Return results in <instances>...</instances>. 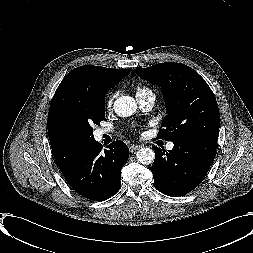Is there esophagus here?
<instances>
[{
  "instance_id": "obj_1",
  "label": "esophagus",
  "mask_w": 253,
  "mask_h": 253,
  "mask_svg": "<svg viewBox=\"0 0 253 253\" xmlns=\"http://www.w3.org/2000/svg\"><path fill=\"white\" fill-rule=\"evenodd\" d=\"M139 148H140V146H139V145H135V144H133V145H131V146L129 147L131 153L135 152V151L138 150Z\"/></svg>"
}]
</instances>
